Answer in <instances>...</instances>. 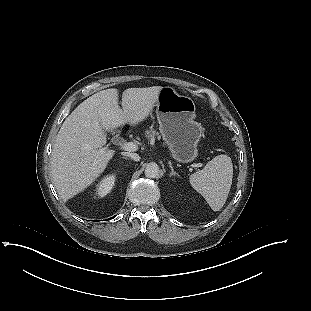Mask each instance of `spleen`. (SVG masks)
I'll return each instance as SVG.
<instances>
[{
	"mask_svg": "<svg viewBox=\"0 0 311 311\" xmlns=\"http://www.w3.org/2000/svg\"><path fill=\"white\" fill-rule=\"evenodd\" d=\"M233 178L231 158L221 154L205 167L190 175L191 186L200 193L212 210L219 211L225 204Z\"/></svg>",
	"mask_w": 311,
	"mask_h": 311,
	"instance_id": "3e777b00",
	"label": "spleen"
}]
</instances>
